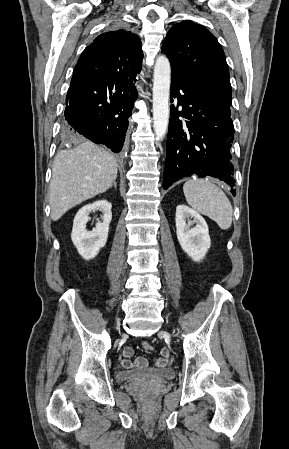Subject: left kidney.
Segmentation results:
<instances>
[{
    "mask_svg": "<svg viewBox=\"0 0 289 449\" xmlns=\"http://www.w3.org/2000/svg\"><path fill=\"white\" fill-rule=\"evenodd\" d=\"M175 220L177 239L181 248L193 261L200 262L211 246L205 219L188 206L178 205ZM193 224L196 226L192 227Z\"/></svg>",
    "mask_w": 289,
    "mask_h": 449,
    "instance_id": "obj_1",
    "label": "left kidney"
}]
</instances>
